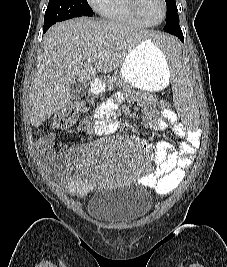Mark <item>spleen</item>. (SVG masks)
I'll list each match as a JSON object with an SVG mask.
<instances>
[{
    "mask_svg": "<svg viewBox=\"0 0 227 267\" xmlns=\"http://www.w3.org/2000/svg\"><path fill=\"white\" fill-rule=\"evenodd\" d=\"M151 41L155 42V47H161L162 55H167L173 67H169L171 81H192V76H188V63H181L183 46L176 42L175 36L169 33H158V36H151ZM174 87L173 98H187V100H173V105H197L194 100V93L191 92L192 82H171ZM177 115H199L198 106H175ZM179 125L183 129H202L200 116H179Z\"/></svg>",
    "mask_w": 227,
    "mask_h": 267,
    "instance_id": "3e777b00",
    "label": "spleen"
}]
</instances>
